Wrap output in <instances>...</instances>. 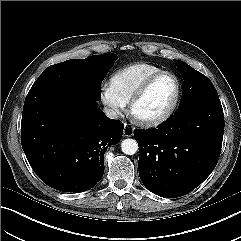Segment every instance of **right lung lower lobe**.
I'll return each mask as SVG.
<instances>
[{
	"mask_svg": "<svg viewBox=\"0 0 241 241\" xmlns=\"http://www.w3.org/2000/svg\"><path fill=\"white\" fill-rule=\"evenodd\" d=\"M78 87L51 83L31 89L21 121V144L36 175L64 192L94 187L104 173V153L119 143L123 125Z\"/></svg>",
	"mask_w": 241,
	"mask_h": 241,
	"instance_id": "obj_1",
	"label": "right lung lower lobe"
}]
</instances>
